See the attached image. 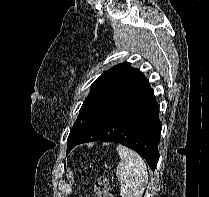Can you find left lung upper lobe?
<instances>
[{
	"instance_id": "1",
	"label": "left lung upper lobe",
	"mask_w": 209,
	"mask_h": 197,
	"mask_svg": "<svg viewBox=\"0 0 209 197\" xmlns=\"http://www.w3.org/2000/svg\"><path fill=\"white\" fill-rule=\"evenodd\" d=\"M143 78H145L143 73L132 68L129 62L117 64L102 73L91 85V91L70 130L67 153L111 103Z\"/></svg>"
}]
</instances>
